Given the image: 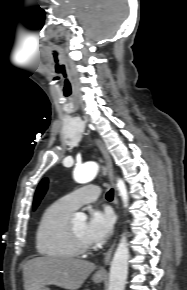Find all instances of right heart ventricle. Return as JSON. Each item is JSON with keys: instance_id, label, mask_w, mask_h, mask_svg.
<instances>
[{"instance_id": "1", "label": "right heart ventricle", "mask_w": 187, "mask_h": 290, "mask_svg": "<svg viewBox=\"0 0 187 290\" xmlns=\"http://www.w3.org/2000/svg\"><path fill=\"white\" fill-rule=\"evenodd\" d=\"M73 211L62 200L53 202L44 210L35 235L39 254L52 259H69L77 255L67 235V224Z\"/></svg>"}]
</instances>
